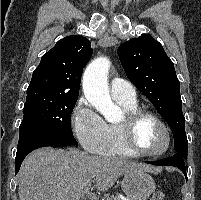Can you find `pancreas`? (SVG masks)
Wrapping results in <instances>:
<instances>
[{"mask_svg":"<svg viewBox=\"0 0 201 200\" xmlns=\"http://www.w3.org/2000/svg\"><path fill=\"white\" fill-rule=\"evenodd\" d=\"M105 200H121V198L118 195H107Z\"/></svg>","mask_w":201,"mask_h":200,"instance_id":"1","label":"pancreas"}]
</instances>
